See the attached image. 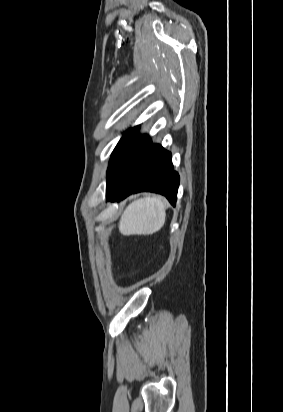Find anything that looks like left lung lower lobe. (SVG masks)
<instances>
[{
    "instance_id": "0a47b994",
    "label": "left lung lower lobe",
    "mask_w": 283,
    "mask_h": 412,
    "mask_svg": "<svg viewBox=\"0 0 283 412\" xmlns=\"http://www.w3.org/2000/svg\"><path fill=\"white\" fill-rule=\"evenodd\" d=\"M179 175L173 170L171 153L161 145L152 144L148 151L125 181L112 162L107 170V200L120 201L132 193L150 191L164 195L175 206Z\"/></svg>"
}]
</instances>
